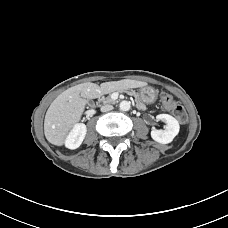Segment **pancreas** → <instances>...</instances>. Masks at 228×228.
<instances>
[{
    "instance_id": "obj_1",
    "label": "pancreas",
    "mask_w": 228,
    "mask_h": 228,
    "mask_svg": "<svg viewBox=\"0 0 228 228\" xmlns=\"http://www.w3.org/2000/svg\"><path fill=\"white\" fill-rule=\"evenodd\" d=\"M116 90V89H115ZM115 90H111L110 92H109V96H106V97H102V101L104 102V103H115V100H113L110 96H112V92H114ZM121 92H125V93H127V94H129V95H131V96H134L135 97V99H134V102H135V104H136V106H137V108L139 109V110H146L147 109V106L146 105H143L141 102H140V100L138 99V97H137V95H136V93L133 91V90H126V89H121L120 90Z\"/></svg>"
}]
</instances>
